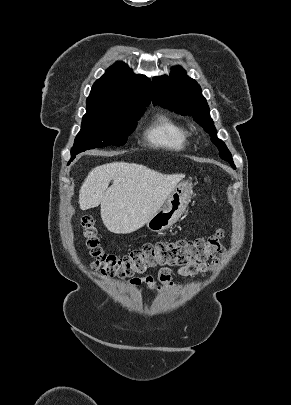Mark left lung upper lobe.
<instances>
[{"label":"left lung upper lobe","mask_w":291,"mask_h":405,"mask_svg":"<svg viewBox=\"0 0 291 405\" xmlns=\"http://www.w3.org/2000/svg\"><path fill=\"white\" fill-rule=\"evenodd\" d=\"M152 102L178 114L192 116L210 134L211 141L220 151V157L235 168L231 153L225 143L217 138V131L200 86L186 75L182 67H173L169 77L163 75L153 78Z\"/></svg>","instance_id":"1"}]
</instances>
